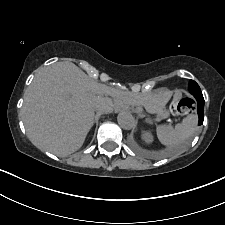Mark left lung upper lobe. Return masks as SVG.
Returning a JSON list of instances; mask_svg holds the SVG:
<instances>
[{"instance_id": "left-lung-upper-lobe-1", "label": "left lung upper lobe", "mask_w": 225, "mask_h": 225, "mask_svg": "<svg viewBox=\"0 0 225 225\" xmlns=\"http://www.w3.org/2000/svg\"><path fill=\"white\" fill-rule=\"evenodd\" d=\"M189 92L195 97V96H203L202 95V92L200 90V87L199 85L193 81V80H190L189 82Z\"/></svg>"}]
</instances>
